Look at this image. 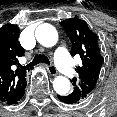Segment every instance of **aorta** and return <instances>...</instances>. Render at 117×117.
<instances>
[{"label":"aorta","mask_w":117,"mask_h":117,"mask_svg":"<svg viewBox=\"0 0 117 117\" xmlns=\"http://www.w3.org/2000/svg\"><path fill=\"white\" fill-rule=\"evenodd\" d=\"M35 37L41 45L52 47L58 41V32L51 24L44 23L36 28ZM53 88L59 95H66L70 91V81L64 76H57Z\"/></svg>","instance_id":"aorta-1"}]
</instances>
